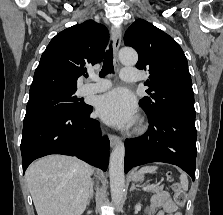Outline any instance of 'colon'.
I'll return each instance as SVG.
<instances>
[{
	"label": "colon",
	"instance_id": "5ec220e1",
	"mask_svg": "<svg viewBox=\"0 0 223 215\" xmlns=\"http://www.w3.org/2000/svg\"><path fill=\"white\" fill-rule=\"evenodd\" d=\"M168 179L172 181L173 176L169 174ZM173 189H174V200L177 205V208H181L186 203L187 194L178 183H174Z\"/></svg>",
	"mask_w": 223,
	"mask_h": 215
}]
</instances>
